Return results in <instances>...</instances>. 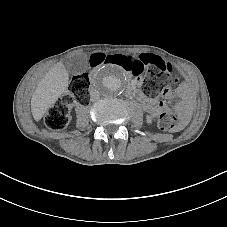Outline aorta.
<instances>
[{
  "label": "aorta",
  "instance_id": "aorta-1",
  "mask_svg": "<svg viewBox=\"0 0 227 227\" xmlns=\"http://www.w3.org/2000/svg\"><path fill=\"white\" fill-rule=\"evenodd\" d=\"M125 85L122 71L113 65L99 69L94 79V89L104 97H113L120 94Z\"/></svg>",
  "mask_w": 227,
  "mask_h": 227
}]
</instances>
